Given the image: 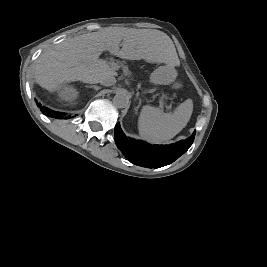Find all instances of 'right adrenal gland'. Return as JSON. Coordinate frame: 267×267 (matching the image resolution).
I'll list each match as a JSON object with an SVG mask.
<instances>
[{"label": "right adrenal gland", "instance_id": "right-adrenal-gland-1", "mask_svg": "<svg viewBox=\"0 0 267 267\" xmlns=\"http://www.w3.org/2000/svg\"><path fill=\"white\" fill-rule=\"evenodd\" d=\"M86 87L94 88V90H99V89H101V87L96 86V85H90V86H86Z\"/></svg>", "mask_w": 267, "mask_h": 267}]
</instances>
